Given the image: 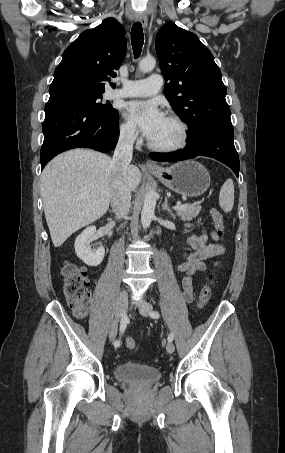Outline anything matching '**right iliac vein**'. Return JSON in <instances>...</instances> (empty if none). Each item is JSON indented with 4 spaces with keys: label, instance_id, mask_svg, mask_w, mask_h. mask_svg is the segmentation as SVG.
Wrapping results in <instances>:
<instances>
[{
    "label": "right iliac vein",
    "instance_id": "obj_1",
    "mask_svg": "<svg viewBox=\"0 0 285 453\" xmlns=\"http://www.w3.org/2000/svg\"><path fill=\"white\" fill-rule=\"evenodd\" d=\"M128 304V293L126 290H122L119 294L116 309H115V319L109 329V339L113 341L117 335L118 323L126 313Z\"/></svg>",
    "mask_w": 285,
    "mask_h": 453
}]
</instances>
